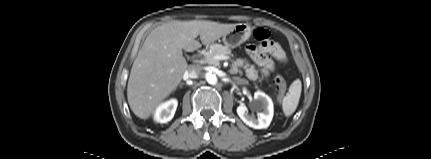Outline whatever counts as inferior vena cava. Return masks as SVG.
Masks as SVG:
<instances>
[{"instance_id": "obj_1", "label": "inferior vena cava", "mask_w": 431, "mask_h": 159, "mask_svg": "<svg viewBox=\"0 0 431 159\" xmlns=\"http://www.w3.org/2000/svg\"><path fill=\"white\" fill-rule=\"evenodd\" d=\"M200 67L196 66V65H191L189 66L188 70L185 73V77L188 79H195L199 76L200 74Z\"/></svg>"}]
</instances>
